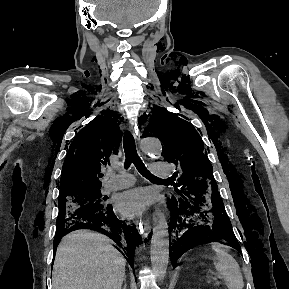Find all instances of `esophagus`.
Returning a JSON list of instances; mask_svg holds the SVG:
<instances>
[{
  "label": "esophagus",
  "mask_w": 289,
  "mask_h": 289,
  "mask_svg": "<svg viewBox=\"0 0 289 289\" xmlns=\"http://www.w3.org/2000/svg\"><path fill=\"white\" fill-rule=\"evenodd\" d=\"M130 128L133 132V135L137 141V143L139 144L140 142V133H139V130H138V127L137 125L132 122L130 123ZM139 228L141 230V233L142 235L145 237V238H148L149 235L151 234L152 232V227L150 225V222L147 218L141 216V219L139 220Z\"/></svg>",
  "instance_id": "34e87169"
}]
</instances>
